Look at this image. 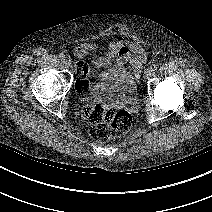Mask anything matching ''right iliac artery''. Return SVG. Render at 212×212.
Here are the masks:
<instances>
[{"label":"right iliac artery","mask_w":212,"mask_h":212,"mask_svg":"<svg viewBox=\"0 0 212 212\" xmlns=\"http://www.w3.org/2000/svg\"><path fill=\"white\" fill-rule=\"evenodd\" d=\"M59 59H60L61 61H64V60H65V55H64V54H60V55H59Z\"/></svg>","instance_id":"82829eb1"}]
</instances>
